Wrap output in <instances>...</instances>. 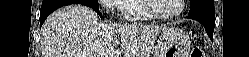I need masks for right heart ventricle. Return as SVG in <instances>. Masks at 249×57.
Returning <instances> with one entry per match:
<instances>
[{
  "label": "right heart ventricle",
  "instance_id": "e07e8e85",
  "mask_svg": "<svg viewBox=\"0 0 249 57\" xmlns=\"http://www.w3.org/2000/svg\"><path fill=\"white\" fill-rule=\"evenodd\" d=\"M121 7L127 20L142 21L152 18L144 8V0H124Z\"/></svg>",
  "mask_w": 249,
  "mask_h": 57
}]
</instances>
